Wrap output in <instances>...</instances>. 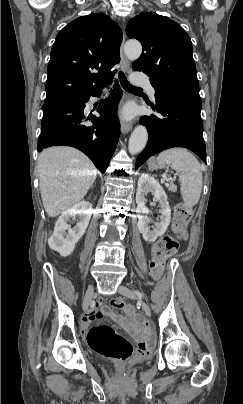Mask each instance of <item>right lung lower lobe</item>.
Wrapping results in <instances>:
<instances>
[{
    "mask_svg": "<svg viewBox=\"0 0 243 404\" xmlns=\"http://www.w3.org/2000/svg\"><path fill=\"white\" fill-rule=\"evenodd\" d=\"M98 93L99 90L44 107L38 151L56 145L71 146L85 153L97 169L104 173L120 135V124L115 112L122 91L116 83L109 97L97 110L100 117H86L85 103L90 96H97ZM88 121L93 125H87Z\"/></svg>",
    "mask_w": 243,
    "mask_h": 404,
    "instance_id": "right-lung-lower-lobe-1",
    "label": "right lung lower lobe"
}]
</instances>
